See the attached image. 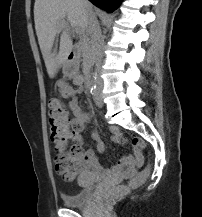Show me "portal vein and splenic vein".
Returning a JSON list of instances; mask_svg holds the SVG:
<instances>
[{
	"label": "portal vein and splenic vein",
	"instance_id": "18ae733b",
	"mask_svg": "<svg viewBox=\"0 0 202 217\" xmlns=\"http://www.w3.org/2000/svg\"><path fill=\"white\" fill-rule=\"evenodd\" d=\"M67 25H68V23L63 22L62 27H67ZM75 30H76V33H77V34H82V33H83V32H82L80 29H78V28H76Z\"/></svg>",
	"mask_w": 202,
	"mask_h": 217
}]
</instances>
